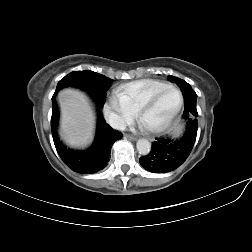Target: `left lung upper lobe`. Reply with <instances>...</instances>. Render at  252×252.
I'll list each match as a JSON object with an SVG mask.
<instances>
[{
  "mask_svg": "<svg viewBox=\"0 0 252 252\" xmlns=\"http://www.w3.org/2000/svg\"><path fill=\"white\" fill-rule=\"evenodd\" d=\"M169 79H170L171 81L176 82V83L179 85V87H180L181 85L190 86L186 81H184V80H182V79H179V78H176V77H171V76H169Z\"/></svg>",
  "mask_w": 252,
  "mask_h": 252,
  "instance_id": "1",
  "label": "left lung upper lobe"
}]
</instances>
